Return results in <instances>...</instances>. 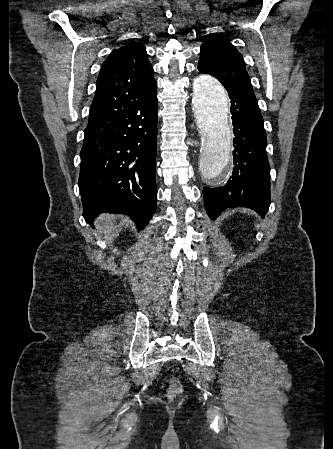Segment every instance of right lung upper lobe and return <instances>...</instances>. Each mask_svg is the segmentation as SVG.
I'll use <instances>...</instances> for the list:
<instances>
[{"label":"right lung upper lobe","instance_id":"obj_1","mask_svg":"<svg viewBox=\"0 0 333 449\" xmlns=\"http://www.w3.org/2000/svg\"><path fill=\"white\" fill-rule=\"evenodd\" d=\"M156 87L145 46L130 43L115 49L102 64L89 122L126 108Z\"/></svg>","mask_w":333,"mask_h":449}]
</instances>
